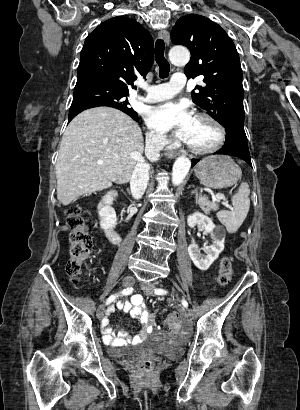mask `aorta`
<instances>
[{
  "label": "aorta",
  "instance_id": "1",
  "mask_svg": "<svg viewBox=\"0 0 300 410\" xmlns=\"http://www.w3.org/2000/svg\"><path fill=\"white\" fill-rule=\"evenodd\" d=\"M169 58L176 65H185L190 60V53L185 47H173L169 52ZM191 167V161L186 156H180L175 161L172 168V183L174 186L180 185Z\"/></svg>",
  "mask_w": 300,
  "mask_h": 410
}]
</instances>
